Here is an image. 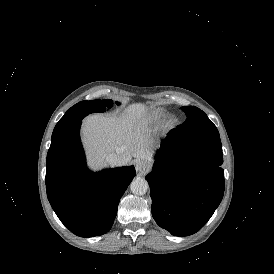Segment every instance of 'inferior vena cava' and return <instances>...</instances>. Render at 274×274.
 <instances>
[{
    "instance_id": "obj_1",
    "label": "inferior vena cava",
    "mask_w": 274,
    "mask_h": 274,
    "mask_svg": "<svg viewBox=\"0 0 274 274\" xmlns=\"http://www.w3.org/2000/svg\"><path fill=\"white\" fill-rule=\"evenodd\" d=\"M106 162L110 165V166H118L119 165V158L118 155L115 153L112 154H108L106 156Z\"/></svg>"
}]
</instances>
